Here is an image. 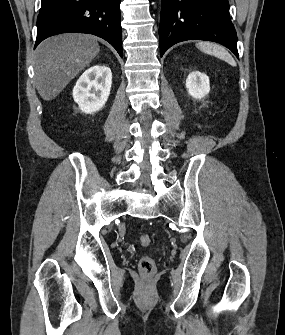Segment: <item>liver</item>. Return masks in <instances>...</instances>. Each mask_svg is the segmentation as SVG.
Instances as JSON below:
<instances>
[{"label":"liver","instance_id":"obj_1","mask_svg":"<svg viewBox=\"0 0 285 335\" xmlns=\"http://www.w3.org/2000/svg\"><path fill=\"white\" fill-rule=\"evenodd\" d=\"M100 52L95 36L61 34L35 50L34 84L43 100H54Z\"/></svg>","mask_w":285,"mask_h":335}]
</instances>
